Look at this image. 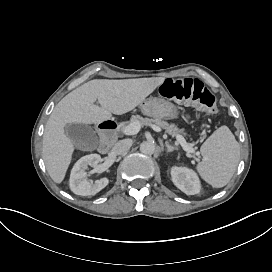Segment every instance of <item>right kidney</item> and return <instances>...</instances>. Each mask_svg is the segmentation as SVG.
<instances>
[{"label": "right kidney", "mask_w": 272, "mask_h": 272, "mask_svg": "<svg viewBox=\"0 0 272 272\" xmlns=\"http://www.w3.org/2000/svg\"><path fill=\"white\" fill-rule=\"evenodd\" d=\"M101 161L99 154H90L79 159L71 170L70 188L80 196H93L104 189L109 184V179L103 177L90 185L86 170L89 166H97ZM96 173H101V170H95Z\"/></svg>", "instance_id": "right-kidney-1"}]
</instances>
